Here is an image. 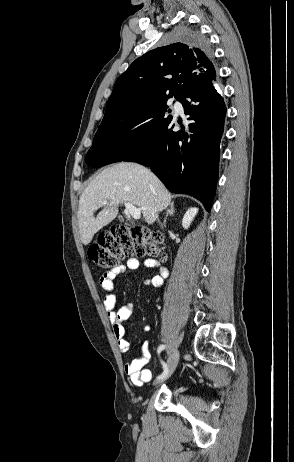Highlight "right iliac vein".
Instances as JSON below:
<instances>
[{
    "label": "right iliac vein",
    "mask_w": 294,
    "mask_h": 462,
    "mask_svg": "<svg viewBox=\"0 0 294 462\" xmlns=\"http://www.w3.org/2000/svg\"><path fill=\"white\" fill-rule=\"evenodd\" d=\"M179 358H180L179 351L177 349H174L168 358V365H167L168 372H167L166 377L163 379H156L153 382L154 385L162 383L163 381H165L167 378H169L173 374L179 362Z\"/></svg>",
    "instance_id": "right-iliac-vein-1"
}]
</instances>
